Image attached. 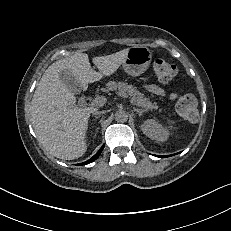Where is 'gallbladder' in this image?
Masks as SVG:
<instances>
[{"instance_id":"bac80fb5","label":"gallbladder","mask_w":231,"mask_h":231,"mask_svg":"<svg viewBox=\"0 0 231 231\" xmlns=\"http://www.w3.org/2000/svg\"><path fill=\"white\" fill-rule=\"evenodd\" d=\"M59 76L63 84L74 94L79 95L82 92L80 81L71 73V71L63 69Z\"/></svg>"}]
</instances>
